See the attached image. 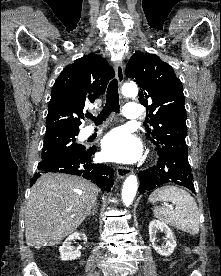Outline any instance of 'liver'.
I'll return each instance as SVG.
<instances>
[{
	"instance_id": "6515ba94",
	"label": "liver",
	"mask_w": 221,
	"mask_h": 276,
	"mask_svg": "<svg viewBox=\"0 0 221 276\" xmlns=\"http://www.w3.org/2000/svg\"><path fill=\"white\" fill-rule=\"evenodd\" d=\"M98 188L77 176L43 174L31 189L25 210V238L39 249L74 232L96 202Z\"/></svg>"
}]
</instances>
